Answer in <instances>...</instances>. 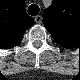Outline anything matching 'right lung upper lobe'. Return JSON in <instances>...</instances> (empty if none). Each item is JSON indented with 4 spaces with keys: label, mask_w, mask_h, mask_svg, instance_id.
<instances>
[{
    "label": "right lung upper lobe",
    "mask_w": 80,
    "mask_h": 80,
    "mask_svg": "<svg viewBox=\"0 0 80 80\" xmlns=\"http://www.w3.org/2000/svg\"><path fill=\"white\" fill-rule=\"evenodd\" d=\"M34 23L33 18L26 14L24 3L20 0L11 1L0 13V44L6 48L16 46L24 32Z\"/></svg>",
    "instance_id": "cb5924a9"
}]
</instances>
